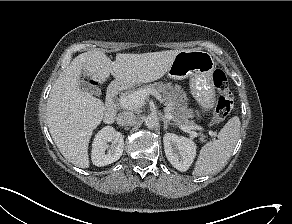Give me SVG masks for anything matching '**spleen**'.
Segmentation results:
<instances>
[{"label":"spleen","mask_w":292,"mask_h":224,"mask_svg":"<svg viewBox=\"0 0 292 224\" xmlns=\"http://www.w3.org/2000/svg\"><path fill=\"white\" fill-rule=\"evenodd\" d=\"M240 120L232 117L218 133V139L205 144L199 153L193 174L196 176L215 174L222 170L237 143Z\"/></svg>","instance_id":"1"}]
</instances>
